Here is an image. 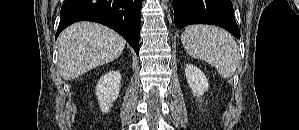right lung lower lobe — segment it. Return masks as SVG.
I'll return each instance as SVG.
<instances>
[{
  "label": "right lung lower lobe",
  "mask_w": 299,
  "mask_h": 130,
  "mask_svg": "<svg viewBox=\"0 0 299 130\" xmlns=\"http://www.w3.org/2000/svg\"><path fill=\"white\" fill-rule=\"evenodd\" d=\"M141 7L142 0H65L55 38L74 22L93 21L117 31L139 55Z\"/></svg>",
  "instance_id": "right-lung-lower-lobe-1"
}]
</instances>
